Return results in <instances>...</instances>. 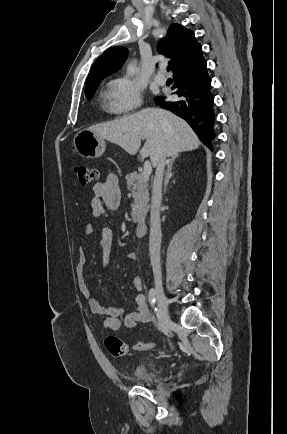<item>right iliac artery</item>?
I'll use <instances>...</instances> for the list:
<instances>
[{"label": "right iliac artery", "instance_id": "82829eb1", "mask_svg": "<svg viewBox=\"0 0 287 434\" xmlns=\"http://www.w3.org/2000/svg\"><path fill=\"white\" fill-rule=\"evenodd\" d=\"M148 299H149L151 306L154 308L155 311H157V308L155 307V303H156L155 289L151 288L149 290Z\"/></svg>", "mask_w": 287, "mask_h": 434}]
</instances>
